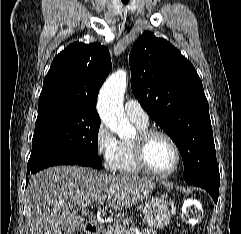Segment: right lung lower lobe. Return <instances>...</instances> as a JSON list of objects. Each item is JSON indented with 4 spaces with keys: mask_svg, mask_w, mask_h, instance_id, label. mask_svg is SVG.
<instances>
[{
    "mask_svg": "<svg viewBox=\"0 0 241 234\" xmlns=\"http://www.w3.org/2000/svg\"><path fill=\"white\" fill-rule=\"evenodd\" d=\"M55 165H80L89 166L86 161L81 159L78 155L66 150L52 149L41 152L35 156H31L27 164V179L34 173Z\"/></svg>",
    "mask_w": 241,
    "mask_h": 234,
    "instance_id": "1",
    "label": "right lung lower lobe"
}]
</instances>
